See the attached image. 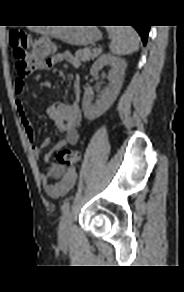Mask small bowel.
I'll use <instances>...</instances> for the list:
<instances>
[{
    "instance_id": "c3829d8e",
    "label": "small bowel",
    "mask_w": 184,
    "mask_h": 292,
    "mask_svg": "<svg viewBox=\"0 0 184 292\" xmlns=\"http://www.w3.org/2000/svg\"><path fill=\"white\" fill-rule=\"evenodd\" d=\"M60 63H68L73 67H78L80 64L79 60L70 51H65L55 54L46 61L33 62L29 71L50 70ZM24 75H18L15 80V90L18 95L16 107L24 131L32 144V152L34 156L38 157L41 154V150L49 146L50 140L43 139L38 145L33 143L35 140L34 126L27 116L25 103L20 97L24 89ZM72 90L74 99L71 103H56L47 108L48 117L54 121L58 130L63 133L62 139L56 144L57 147L75 145L79 140L77 128L82 120V114L79 109L81 94L79 76L74 79ZM45 168L46 172L41 178L42 185L46 193L53 198L63 197L73 188L77 181L78 173L75 165L63 166L45 157Z\"/></svg>"
}]
</instances>
